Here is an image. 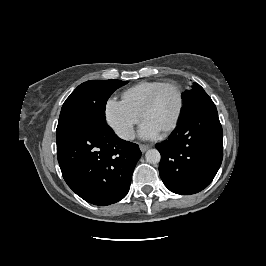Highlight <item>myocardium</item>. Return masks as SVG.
Masks as SVG:
<instances>
[{
	"label": "myocardium",
	"mask_w": 266,
	"mask_h": 266,
	"mask_svg": "<svg viewBox=\"0 0 266 266\" xmlns=\"http://www.w3.org/2000/svg\"><path fill=\"white\" fill-rule=\"evenodd\" d=\"M167 87H172L176 91L177 96H178V108H177L176 114H175L172 122L165 129L162 130L163 133L171 132L177 126V124L180 120V117L182 115V111L184 108V97H183L182 89L178 84H176L174 82H165V83L161 84L150 95V97L148 98V100L144 104V106L141 110V113H140L142 120H144L147 111L153 106V104L155 103V101L158 98L161 91Z\"/></svg>",
	"instance_id": "myocardium-1"
}]
</instances>
